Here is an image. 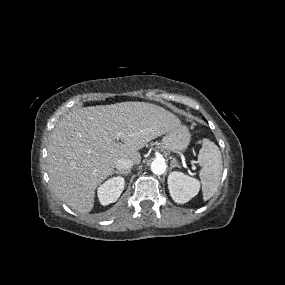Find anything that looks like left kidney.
Masks as SVG:
<instances>
[{
  "instance_id": "left-kidney-1",
  "label": "left kidney",
  "mask_w": 285,
  "mask_h": 285,
  "mask_svg": "<svg viewBox=\"0 0 285 285\" xmlns=\"http://www.w3.org/2000/svg\"><path fill=\"white\" fill-rule=\"evenodd\" d=\"M168 188L172 199L184 204L198 194L200 184L196 179L174 171L168 176Z\"/></svg>"
}]
</instances>
